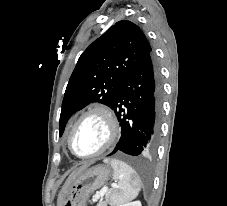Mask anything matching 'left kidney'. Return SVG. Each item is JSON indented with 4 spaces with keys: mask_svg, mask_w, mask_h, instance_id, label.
Masks as SVG:
<instances>
[{
    "mask_svg": "<svg viewBox=\"0 0 227 206\" xmlns=\"http://www.w3.org/2000/svg\"><path fill=\"white\" fill-rule=\"evenodd\" d=\"M120 206H142L140 201H134L126 204H122Z\"/></svg>",
    "mask_w": 227,
    "mask_h": 206,
    "instance_id": "5707ae66",
    "label": "left kidney"
}]
</instances>
